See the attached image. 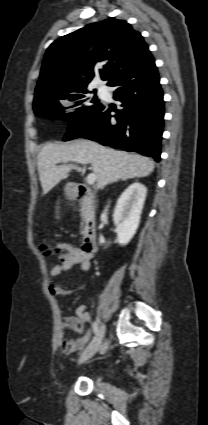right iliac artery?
Segmentation results:
<instances>
[{
	"mask_svg": "<svg viewBox=\"0 0 208 425\" xmlns=\"http://www.w3.org/2000/svg\"><path fill=\"white\" fill-rule=\"evenodd\" d=\"M92 329H93V332L95 333V334H97V332H98V324H97V322L95 321V322H93V324H92Z\"/></svg>",
	"mask_w": 208,
	"mask_h": 425,
	"instance_id": "obj_1",
	"label": "right iliac artery"
}]
</instances>
